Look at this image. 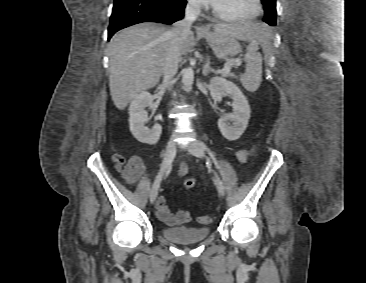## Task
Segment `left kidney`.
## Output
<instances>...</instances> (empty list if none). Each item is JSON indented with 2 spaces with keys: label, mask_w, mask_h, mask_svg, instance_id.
Masks as SVG:
<instances>
[{
  "label": "left kidney",
  "mask_w": 366,
  "mask_h": 283,
  "mask_svg": "<svg viewBox=\"0 0 366 283\" xmlns=\"http://www.w3.org/2000/svg\"><path fill=\"white\" fill-rule=\"evenodd\" d=\"M209 89L215 103L221 102L224 96L232 97L233 112L223 115L218 120V127L224 138L230 141L237 140L246 130L251 114L246 97L236 84L223 77H213ZM228 121L233 122L232 125H229Z\"/></svg>",
  "instance_id": "5707ae66"
}]
</instances>
